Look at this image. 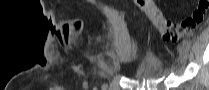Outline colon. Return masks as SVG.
<instances>
[{
  "label": "colon",
  "instance_id": "obj_1",
  "mask_svg": "<svg viewBox=\"0 0 209 90\" xmlns=\"http://www.w3.org/2000/svg\"><path fill=\"white\" fill-rule=\"evenodd\" d=\"M136 2L162 38L170 42H178L182 38L190 37L197 27L203 24L209 11V0H199L197 7L188 17L178 23H173L164 18L152 0H137Z\"/></svg>",
  "mask_w": 209,
  "mask_h": 90
}]
</instances>
